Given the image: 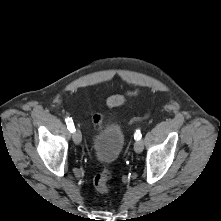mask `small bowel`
Segmentation results:
<instances>
[{
    "mask_svg": "<svg viewBox=\"0 0 221 221\" xmlns=\"http://www.w3.org/2000/svg\"><path fill=\"white\" fill-rule=\"evenodd\" d=\"M124 102V98L120 95H112L108 98L109 107H118L122 105Z\"/></svg>",
    "mask_w": 221,
    "mask_h": 221,
    "instance_id": "1",
    "label": "small bowel"
}]
</instances>
